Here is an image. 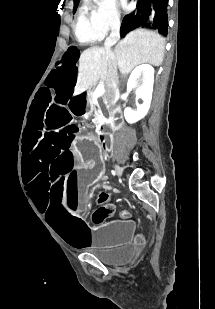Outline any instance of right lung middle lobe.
I'll list each match as a JSON object with an SVG mask.
<instances>
[{
	"label": "right lung middle lobe",
	"instance_id": "obj_1",
	"mask_svg": "<svg viewBox=\"0 0 215 309\" xmlns=\"http://www.w3.org/2000/svg\"><path fill=\"white\" fill-rule=\"evenodd\" d=\"M78 3H79V0H78L77 3H74V12L76 11V8H77V6H78Z\"/></svg>",
	"mask_w": 215,
	"mask_h": 309
}]
</instances>
